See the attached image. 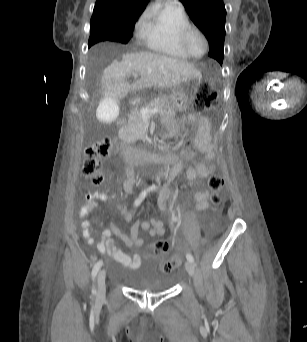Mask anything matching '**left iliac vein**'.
<instances>
[{
    "instance_id": "obj_1",
    "label": "left iliac vein",
    "mask_w": 307,
    "mask_h": 342,
    "mask_svg": "<svg viewBox=\"0 0 307 342\" xmlns=\"http://www.w3.org/2000/svg\"><path fill=\"white\" fill-rule=\"evenodd\" d=\"M185 268L190 276L194 277L195 274V266L192 262L186 261L185 262Z\"/></svg>"
}]
</instances>
